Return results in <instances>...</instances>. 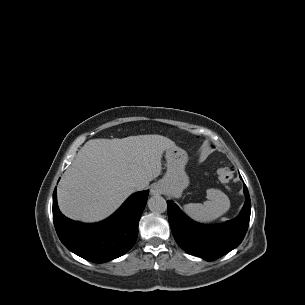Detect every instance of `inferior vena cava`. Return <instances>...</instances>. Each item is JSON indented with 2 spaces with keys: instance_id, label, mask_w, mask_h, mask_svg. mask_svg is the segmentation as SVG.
I'll list each match as a JSON object with an SVG mask.
<instances>
[{
  "instance_id": "602c4592",
  "label": "inferior vena cava",
  "mask_w": 305,
  "mask_h": 305,
  "mask_svg": "<svg viewBox=\"0 0 305 305\" xmlns=\"http://www.w3.org/2000/svg\"><path fill=\"white\" fill-rule=\"evenodd\" d=\"M132 187L136 191L142 190L144 188L141 184H138V183L132 184Z\"/></svg>"
}]
</instances>
